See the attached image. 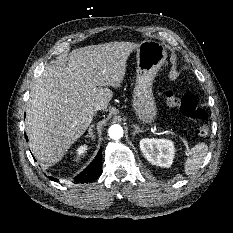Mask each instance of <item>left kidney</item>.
<instances>
[{
  "label": "left kidney",
  "instance_id": "left-kidney-1",
  "mask_svg": "<svg viewBox=\"0 0 233 233\" xmlns=\"http://www.w3.org/2000/svg\"><path fill=\"white\" fill-rule=\"evenodd\" d=\"M140 149L151 164L169 168L173 163L175 148L171 140L144 138L140 141Z\"/></svg>",
  "mask_w": 233,
  "mask_h": 233
}]
</instances>
